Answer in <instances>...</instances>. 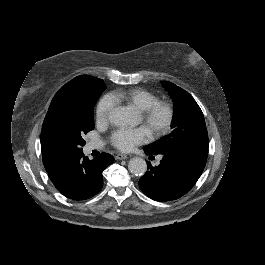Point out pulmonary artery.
Wrapping results in <instances>:
<instances>
[{
	"label": "pulmonary artery",
	"mask_w": 265,
	"mask_h": 265,
	"mask_svg": "<svg viewBox=\"0 0 265 265\" xmlns=\"http://www.w3.org/2000/svg\"><path fill=\"white\" fill-rule=\"evenodd\" d=\"M100 146L94 145V148H99Z\"/></svg>",
	"instance_id": "e3ab8cb5"
}]
</instances>
